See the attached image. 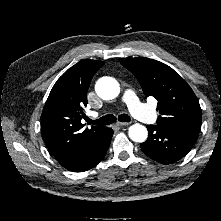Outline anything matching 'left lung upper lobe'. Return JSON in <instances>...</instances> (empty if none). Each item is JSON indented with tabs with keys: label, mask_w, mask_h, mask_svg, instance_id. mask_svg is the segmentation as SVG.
Instances as JSON below:
<instances>
[{
	"label": "left lung upper lobe",
	"mask_w": 221,
	"mask_h": 221,
	"mask_svg": "<svg viewBox=\"0 0 221 221\" xmlns=\"http://www.w3.org/2000/svg\"><path fill=\"white\" fill-rule=\"evenodd\" d=\"M139 81L144 94L158 100L161 116L157 125L199 131L202 113L199 102L184 79L166 64L137 57L121 61Z\"/></svg>",
	"instance_id": "left-lung-upper-lobe-1"
}]
</instances>
